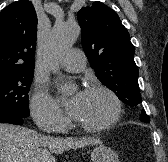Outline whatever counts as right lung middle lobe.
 I'll return each mask as SVG.
<instances>
[{"label":"right lung middle lobe","instance_id":"obj_1","mask_svg":"<svg viewBox=\"0 0 168 162\" xmlns=\"http://www.w3.org/2000/svg\"><path fill=\"white\" fill-rule=\"evenodd\" d=\"M34 71L0 77V113L28 117V91Z\"/></svg>","mask_w":168,"mask_h":162}]
</instances>
